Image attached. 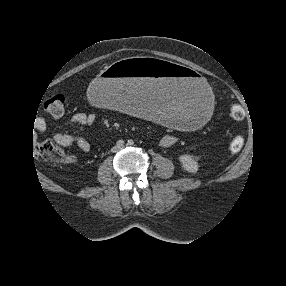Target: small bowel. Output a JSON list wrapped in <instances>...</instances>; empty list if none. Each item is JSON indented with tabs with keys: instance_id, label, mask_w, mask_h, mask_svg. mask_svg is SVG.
I'll list each match as a JSON object with an SVG mask.
<instances>
[{
	"instance_id": "1",
	"label": "small bowel",
	"mask_w": 286,
	"mask_h": 286,
	"mask_svg": "<svg viewBox=\"0 0 286 286\" xmlns=\"http://www.w3.org/2000/svg\"><path fill=\"white\" fill-rule=\"evenodd\" d=\"M95 121V116L91 114H76L73 115L69 122L72 125L75 124H92ZM50 119L48 118H43L40 120L37 130L42 131L45 130L48 124H50ZM54 140L59 143L62 146H76L79 148L82 152L88 153L91 150V145L90 143L78 136H73L69 134H57L54 136ZM177 142V137L173 134L165 135L161 140H160V145L164 148H168L173 146Z\"/></svg>"
}]
</instances>
